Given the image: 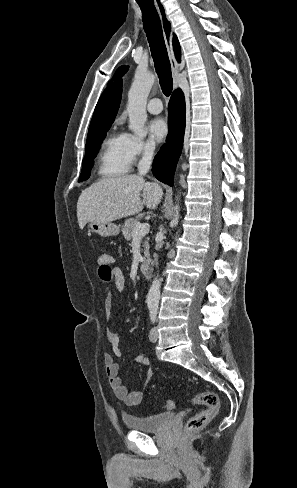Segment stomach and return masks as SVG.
Returning <instances> with one entry per match:
<instances>
[{"label":"stomach","instance_id":"obj_1","mask_svg":"<svg viewBox=\"0 0 297 488\" xmlns=\"http://www.w3.org/2000/svg\"><path fill=\"white\" fill-rule=\"evenodd\" d=\"M89 228L102 237L116 236L119 234V227L113 223L90 222Z\"/></svg>","mask_w":297,"mask_h":488}]
</instances>
